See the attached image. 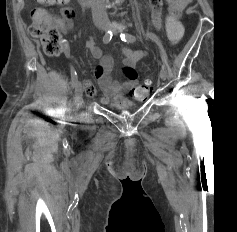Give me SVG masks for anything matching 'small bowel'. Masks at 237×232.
Segmentation results:
<instances>
[{
    "label": "small bowel",
    "instance_id": "obj_1",
    "mask_svg": "<svg viewBox=\"0 0 237 232\" xmlns=\"http://www.w3.org/2000/svg\"><path fill=\"white\" fill-rule=\"evenodd\" d=\"M65 1L68 3L70 0ZM163 1L168 4V14L178 19L191 0H149L153 25L157 30L162 25ZM62 14L63 18H57L55 22L63 32H67L72 28V23L71 20L64 17V9H62ZM87 47L91 55L99 60V65L94 74L103 93L100 98L102 104H108L111 101L117 104L125 103L127 102L126 95H130L138 101H142L148 96L149 89L140 84L137 69L139 61L146 56L145 51L132 50L127 47L121 49L123 55L121 74L125 77V80L119 82L114 81L111 77L114 66L113 59L108 55H104L102 50L92 41L87 43ZM63 49L65 55L69 56L70 48L66 43ZM85 89L89 96L95 94V88L91 82L87 81L85 83Z\"/></svg>",
    "mask_w": 237,
    "mask_h": 232
}]
</instances>
